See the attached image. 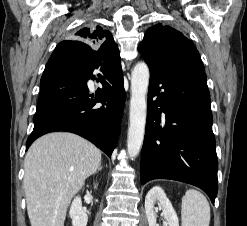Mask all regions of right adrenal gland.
Instances as JSON below:
<instances>
[{"label":"right adrenal gland","instance_id":"2a0ac1e0","mask_svg":"<svg viewBox=\"0 0 247 226\" xmlns=\"http://www.w3.org/2000/svg\"><path fill=\"white\" fill-rule=\"evenodd\" d=\"M102 170V165H99L97 171H101Z\"/></svg>","mask_w":247,"mask_h":226}]
</instances>
